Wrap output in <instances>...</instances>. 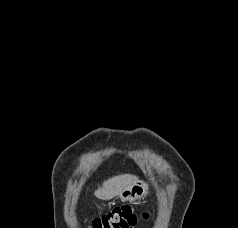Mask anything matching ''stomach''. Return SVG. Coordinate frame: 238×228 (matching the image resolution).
I'll return each instance as SVG.
<instances>
[{"instance_id":"obj_1","label":"stomach","mask_w":238,"mask_h":228,"mask_svg":"<svg viewBox=\"0 0 238 228\" xmlns=\"http://www.w3.org/2000/svg\"><path fill=\"white\" fill-rule=\"evenodd\" d=\"M148 193V184L142 180H136L128 185L119 195L122 201H135L141 199Z\"/></svg>"}]
</instances>
